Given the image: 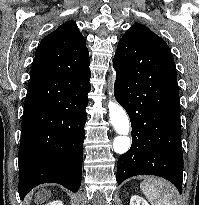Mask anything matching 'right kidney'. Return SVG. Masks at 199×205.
Masks as SVG:
<instances>
[{
    "instance_id": "obj_1",
    "label": "right kidney",
    "mask_w": 199,
    "mask_h": 205,
    "mask_svg": "<svg viewBox=\"0 0 199 205\" xmlns=\"http://www.w3.org/2000/svg\"><path fill=\"white\" fill-rule=\"evenodd\" d=\"M46 205H63L62 201L56 200V201H52Z\"/></svg>"
}]
</instances>
